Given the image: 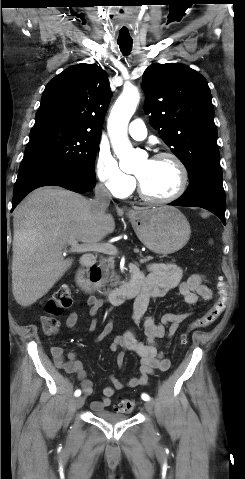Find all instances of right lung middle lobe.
I'll list each match as a JSON object with an SVG mask.
<instances>
[{
  "label": "right lung middle lobe",
  "instance_id": "right-lung-middle-lobe-1",
  "mask_svg": "<svg viewBox=\"0 0 245 479\" xmlns=\"http://www.w3.org/2000/svg\"><path fill=\"white\" fill-rule=\"evenodd\" d=\"M100 135L60 126L32 128L19 172L38 166H60L95 176Z\"/></svg>",
  "mask_w": 245,
  "mask_h": 479
}]
</instances>
